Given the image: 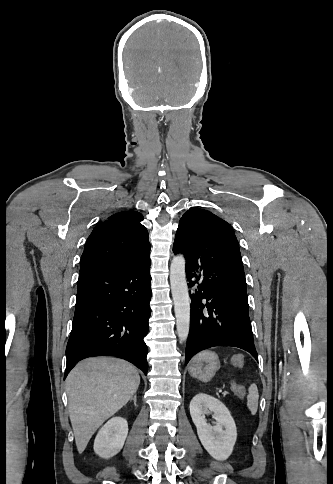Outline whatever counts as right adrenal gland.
Listing matches in <instances>:
<instances>
[{
	"mask_svg": "<svg viewBox=\"0 0 333 484\" xmlns=\"http://www.w3.org/2000/svg\"><path fill=\"white\" fill-rule=\"evenodd\" d=\"M132 399H133V401H134V405L136 406V402H137V397H136V395H134V397H133Z\"/></svg>",
	"mask_w": 333,
	"mask_h": 484,
	"instance_id": "2a0ac1e0",
	"label": "right adrenal gland"
}]
</instances>
